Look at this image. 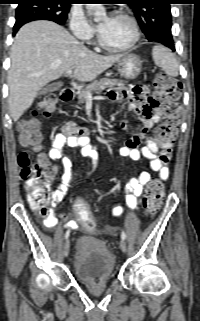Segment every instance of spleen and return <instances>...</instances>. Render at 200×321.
I'll return each mask as SVG.
<instances>
[{"mask_svg": "<svg viewBox=\"0 0 200 321\" xmlns=\"http://www.w3.org/2000/svg\"><path fill=\"white\" fill-rule=\"evenodd\" d=\"M153 61L170 77H177L179 65L175 55L166 47L156 45L152 49Z\"/></svg>", "mask_w": 200, "mask_h": 321, "instance_id": "obj_1", "label": "spleen"}]
</instances>
